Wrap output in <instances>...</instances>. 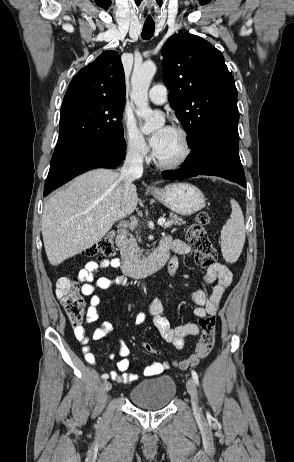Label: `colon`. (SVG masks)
<instances>
[{
  "label": "colon",
  "instance_id": "obj_1",
  "mask_svg": "<svg viewBox=\"0 0 294 462\" xmlns=\"http://www.w3.org/2000/svg\"><path fill=\"white\" fill-rule=\"evenodd\" d=\"M209 223V216L206 212L198 214L195 223L190 225L186 232V240L194 252L196 263L202 268H208L215 264L217 251L211 243L206 226ZM115 233L108 232L96 244L85 251V255L97 259L107 258L115 253ZM81 282L78 278L62 276L56 283V295L60 300L71 324L78 326L84 316V300L80 293ZM200 338L194 353L181 363V367L187 369L197 366L212 351L215 344L216 319L214 315H206L199 319ZM147 352L157 354L158 351L150 343H144Z\"/></svg>",
  "mask_w": 294,
  "mask_h": 462
}]
</instances>
